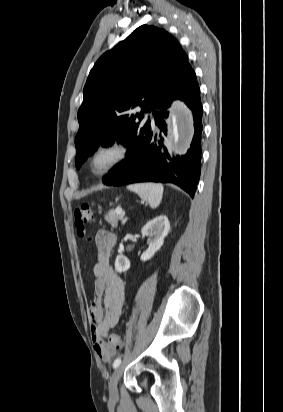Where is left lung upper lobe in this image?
<instances>
[{"label": "left lung upper lobe", "mask_w": 283, "mask_h": 412, "mask_svg": "<svg viewBox=\"0 0 283 412\" xmlns=\"http://www.w3.org/2000/svg\"><path fill=\"white\" fill-rule=\"evenodd\" d=\"M192 67L178 41L165 30L142 25L104 53L85 84L75 139L76 168L101 146L146 130L144 115L167 102ZM140 110L137 112V110Z\"/></svg>", "instance_id": "5c2ea615"}]
</instances>
